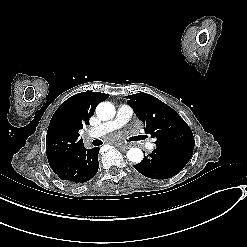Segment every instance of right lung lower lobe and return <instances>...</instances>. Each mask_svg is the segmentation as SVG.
<instances>
[{
	"label": "right lung lower lobe",
	"instance_id": "1",
	"mask_svg": "<svg viewBox=\"0 0 247 247\" xmlns=\"http://www.w3.org/2000/svg\"><path fill=\"white\" fill-rule=\"evenodd\" d=\"M98 153L99 147L86 149L81 145L50 167L62 180L84 183L98 171Z\"/></svg>",
	"mask_w": 247,
	"mask_h": 247
}]
</instances>
